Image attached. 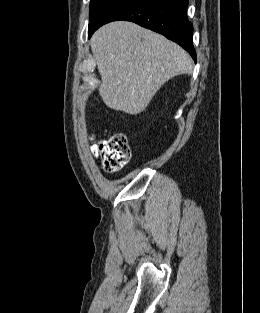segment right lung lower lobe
I'll use <instances>...</instances> for the list:
<instances>
[{
  "instance_id": "98d812e1",
  "label": "right lung lower lobe",
  "mask_w": 260,
  "mask_h": 313,
  "mask_svg": "<svg viewBox=\"0 0 260 313\" xmlns=\"http://www.w3.org/2000/svg\"><path fill=\"white\" fill-rule=\"evenodd\" d=\"M188 0H118L88 31L89 38L102 25L127 20L158 32L178 43L196 62L192 43L193 25L186 14Z\"/></svg>"
}]
</instances>
